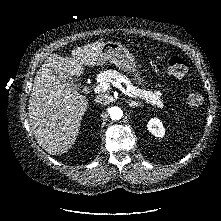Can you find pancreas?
Returning a JSON list of instances; mask_svg holds the SVG:
<instances>
[{
    "mask_svg": "<svg viewBox=\"0 0 221 221\" xmlns=\"http://www.w3.org/2000/svg\"><path fill=\"white\" fill-rule=\"evenodd\" d=\"M98 79L100 80L102 84L105 83L106 85H109L110 82L114 80L118 82H123L128 87L130 94L137 96L141 99H144L147 103L153 106H158L160 108L163 107V102L160 100V96H161L160 92L147 91L144 89H140L136 86H133L132 83L129 81V79L125 75L115 70H107V71L101 72L98 75Z\"/></svg>",
    "mask_w": 221,
    "mask_h": 221,
    "instance_id": "1",
    "label": "pancreas"
}]
</instances>
